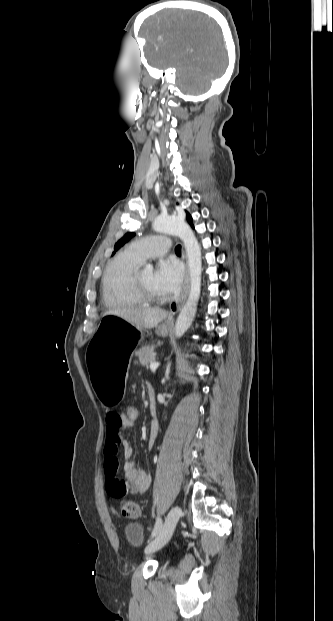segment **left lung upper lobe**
Instances as JSON below:
<instances>
[{
    "label": "left lung upper lobe",
    "instance_id": "left-lung-upper-lobe-1",
    "mask_svg": "<svg viewBox=\"0 0 333 621\" xmlns=\"http://www.w3.org/2000/svg\"><path fill=\"white\" fill-rule=\"evenodd\" d=\"M186 219L187 222L193 227L192 217L189 212H186ZM134 235V233L128 232L120 240H118L117 243H115L114 252L112 255H114L115 252L118 251L125 243H127Z\"/></svg>",
    "mask_w": 333,
    "mask_h": 621
}]
</instances>
